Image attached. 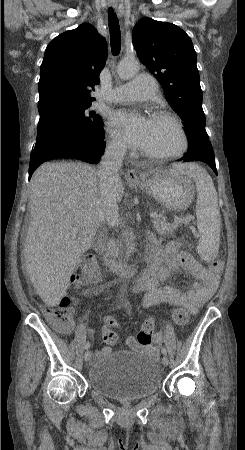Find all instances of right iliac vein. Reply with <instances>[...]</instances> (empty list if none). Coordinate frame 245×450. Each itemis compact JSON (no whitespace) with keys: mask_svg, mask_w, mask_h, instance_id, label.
Listing matches in <instances>:
<instances>
[{"mask_svg":"<svg viewBox=\"0 0 245 450\" xmlns=\"http://www.w3.org/2000/svg\"><path fill=\"white\" fill-rule=\"evenodd\" d=\"M90 358H91V353H90V351H87L84 355V359H85V361H89Z\"/></svg>","mask_w":245,"mask_h":450,"instance_id":"obj_1","label":"right iliac vein"}]
</instances>
